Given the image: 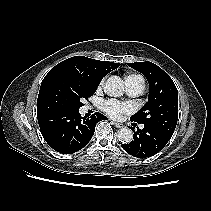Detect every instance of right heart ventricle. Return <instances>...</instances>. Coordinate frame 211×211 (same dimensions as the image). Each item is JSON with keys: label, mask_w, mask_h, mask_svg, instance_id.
<instances>
[{"label": "right heart ventricle", "mask_w": 211, "mask_h": 211, "mask_svg": "<svg viewBox=\"0 0 211 211\" xmlns=\"http://www.w3.org/2000/svg\"><path fill=\"white\" fill-rule=\"evenodd\" d=\"M130 79H142L143 80V78L139 75H128V76H126L125 81L130 80Z\"/></svg>", "instance_id": "right-heart-ventricle-1"}]
</instances>
